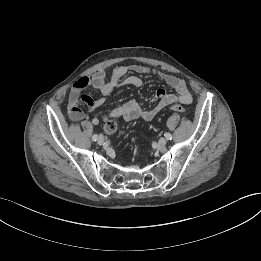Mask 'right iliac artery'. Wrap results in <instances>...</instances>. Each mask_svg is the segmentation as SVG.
<instances>
[{
	"label": "right iliac artery",
	"instance_id": "right-iliac-artery-1",
	"mask_svg": "<svg viewBox=\"0 0 261 261\" xmlns=\"http://www.w3.org/2000/svg\"><path fill=\"white\" fill-rule=\"evenodd\" d=\"M98 139V135L97 134H94L93 137H92V140L93 141H96Z\"/></svg>",
	"mask_w": 261,
	"mask_h": 261
}]
</instances>
